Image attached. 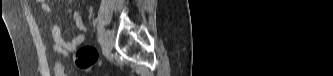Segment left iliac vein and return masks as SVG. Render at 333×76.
<instances>
[{
    "label": "left iliac vein",
    "mask_w": 333,
    "mask_h": 76,
    "mask_svg": "<svg viewBox=\"0 0 333 76\" xmlns=\"http://www.w3.org/2000/svg\"><path fill=\"white\" fill-rule=\"evenodd\" d=\"M114 33L111 30L104 31V45L107 52H110L113 48Z\"/></svg>",
    "instance_id": "4c4485c4"
}]
</instances>
